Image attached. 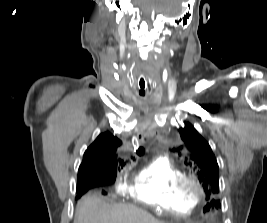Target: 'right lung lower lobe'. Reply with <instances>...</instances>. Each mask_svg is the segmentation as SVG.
Returning a JSON list of instances; mask_svg holds the SVG:
<instances>
[{"instance_id":"obj_1","label":"right lung lower lobe","mask_w":267,"mask_h":223,"mask_svg":"<svg viewBox=\"0 0 267 223\" xmlns=\"http://www.w3.org/2000/svg\"><path fill=\"white\" fill-rule=\"evenodd\" d=\"M110 182H107L102 177L97 176H85L83 178H78L77 192L78 194H84L87 190L108 185Z\"/></svg>"}]
</instances>
